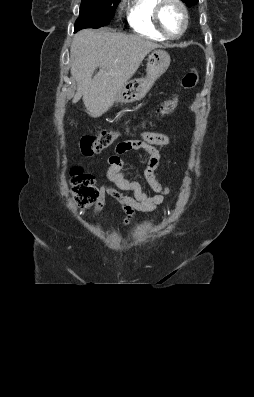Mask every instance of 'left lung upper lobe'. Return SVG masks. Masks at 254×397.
<instances>
[{
    "label": "left lung upper lobe",
    "mask_w": 254,
    "mask_h": 397,
    "mask_svg": "<svg viewBox=\"0 0 254 397\" xmlns=\"http://www.w3.org/2000/svg\"><path fill=\"white\" fill-rule=\"evenodd\" d=\"M182 1H184L188 7H191L192 5L198 2V0H182Z\"/></svg>",
    "instance_id": "left-lung-upper-lobe-1"
}]
</instances>
